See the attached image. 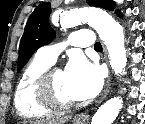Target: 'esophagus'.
Masks as SVG:
<instances>
[{
	"label": "esophagus",
	"mask_w": 145,
	"mask_h": 124,
	"mask_svg": "<svg viewBox=\"0 0 145 124\" xmlns=\"http://www.w3.org/2000/svg\"><path fill=\"white\" fill-rule=\"evenodd\" d=\"M106 54V52H105ZM110 82H111V79H110V76L108 77L107 79V82L105 84V87H104V90L98 100V104H100L108 95L109 93V90H110ZM89 120V115L86 114V113H81V114H78L76 117H75V121L78 123V124H86Z\"/></svg>",
	"instance_id": "34e87169"
}]
</instances>
